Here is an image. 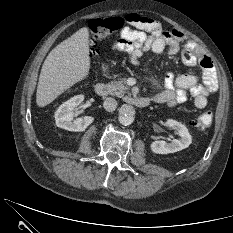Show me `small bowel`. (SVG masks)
<instances>
[{
  "label": "small bowel",
  "mask_w": 233,
  "mask_h": 233,
  "mask_svg": "<svg viewBox=\"0 0 233 233\" xmlns=\"http://www.w3.org/2000/svg\"><path fill=\"white\" fill-rule=\"evenodd\" d=\"M129 26L121 30L120 37L113 44V49L129 55L133 63H139L146 53L160 54L165 50L175 54L182 49V59L186 66L199 65L202 75L181 74L175 77L168 73L164 79V90L153 99L167 106L182 104L187 100V93L193 97L196 108L207 105V97L218 88L216 70L211 58L193 41L177 29L165 30L161 24L139 14H128Z\"/></svg>",
  "instance_id": "obj_1"
}]
</instances>
